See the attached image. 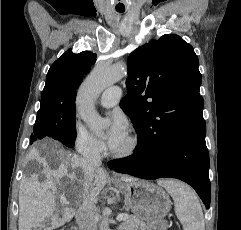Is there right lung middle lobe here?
<instances>
[{"label": "right lung middle lobe", "mask_w": 241, "mask_h": 230, "mask_svg": "<svg viewBox=\"0 0 241 230\" xmlns=\"http://www.w3.org/2000/svg\"><path fill=\"white\" fill-rule=\"evenodd\" d=\"M75 122V110L38 112L30 143L43 138H53L67 147H73L76 139Z\"/></svg>", "instance_id": "right-lung-middle-lobe-1"}]
</instances>
